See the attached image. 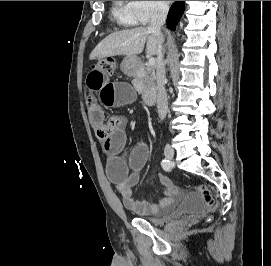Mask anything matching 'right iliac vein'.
I'll use <instances>...</instances> for the list:
<instances>
[{"label": "right iliac vein", "instance_id": "right-iliac-vein-1", "mask_svg": "<svg viewBox=\"0 0 271 266\" xmlns=\"http://www.w3.org/2000/svg\"><path fill=\"white\" fill-rule=\"evenodd\" d=\"M174 154H175V152L170 145H166L164 147V155L168 160H172L174 157Z\"/></svg>", "mask_w": 271, "mask_h": 266}]
</instances>
